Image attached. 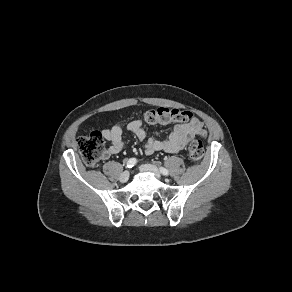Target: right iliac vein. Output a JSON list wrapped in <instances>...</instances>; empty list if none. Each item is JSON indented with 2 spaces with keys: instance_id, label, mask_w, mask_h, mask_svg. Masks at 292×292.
<instances>
[{
  "instance_id": "63e3f726",
  "label": "right iliac vein",
  "mask_w": 292,
  "mask_h": 292,
  "mask_svg": "<svg viewBox=\"0 0 292 292\" xmlns=\"http://www.w3.org/2000/svg\"><path fill=\"white\" fill-rule=\"evenodd\" d=\"M128 179H129V171H124L119 177V180L121 183L127 182Z\"/></svg>"
}]
</instances>
